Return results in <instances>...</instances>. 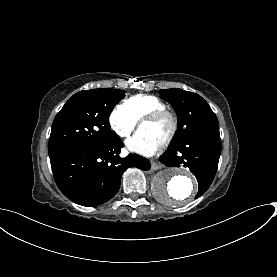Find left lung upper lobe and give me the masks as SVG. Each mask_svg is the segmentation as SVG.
Listing matches in <instances>:
<instances>
[{"label": "left lung upper lobe", "mask_w": 277, "mask_h": 277, "mask_svg": "<svg viewBox=\"0 0 277 277\" xmlns=\"http://www.w3.org/2000/svg\"><path fill=\"white\" fill-rule=\"evenodd\" d=\"M159 93L178 116V132L172 145L200 134L219 133L217 117L201 96L179 88L163 89Z\"/></svg>", "instance_id": "5c2ea615"}]
</instances>
